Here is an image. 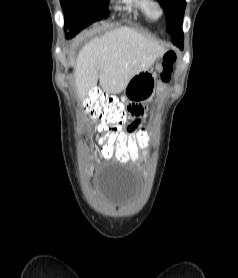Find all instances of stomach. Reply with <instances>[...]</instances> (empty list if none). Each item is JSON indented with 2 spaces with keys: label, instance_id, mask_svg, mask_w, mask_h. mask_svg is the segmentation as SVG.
Segmentation results:
<instances>
[{
  "label": "stomach",
  "instance_id": "obj_1",
  "mask_svg": "<svg viewBox=\"0 0 238 278\" xmlns=\"http://www.w3.org/2000/svg\"><path fill=\"white\" fill-rule=\"evenodd\" d=\"M155 86L156 76L152 71L139 72L130 79L124 89V97L129 101H147L153 96Z\"/></svg>",
  "mask_w": 238,
  "mask_h": 278
}]
</instances>
